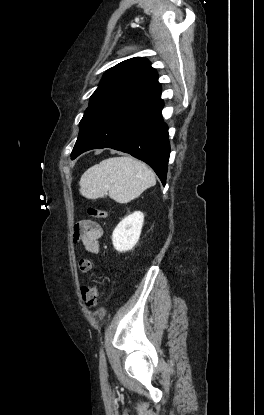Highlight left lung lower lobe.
<instances>
[{"mask_svg": "<svg viewBox=\"0 0 264 415\" xmlns=\"http://www.w3.org/2000/svg\"><path fill=\"white\" fill-rule=\"evenodd\" d=\"M161 85L130 96L106 111L72 159L95 148H112L147 163L166 183L170 144L162 118Z\"/></svg>", "mask_w": 264, "mask_h": 415, "instance_id": "left-lung-lower-lobe-1", "label": "left lung lower lobe"}]
</instances>
